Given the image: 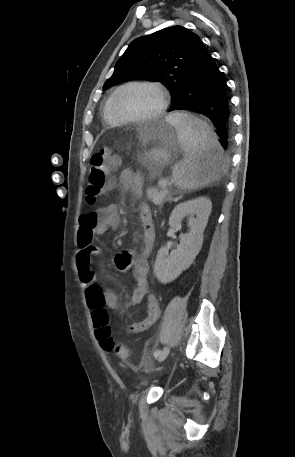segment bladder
<instances>
[{"label": "bladder", "instance_id": "31cf9c89", "mask_svg": "<svg viewBox=\"0 0 295 457\" xmlns=\"http://www.w3.org/2000/svg\"><path fill=\"white\" fill-rule=\"evenodd\" d=\"M149 357L151 358L152 356L150 355ZM140 366H141V368H143V369H147V368H149L150 363H149V361H147V360H143V361H141Z\"/></svg>", "mask_w": 295, "mask_h": 457}]
</instances>
